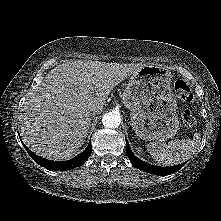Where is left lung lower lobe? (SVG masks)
Here are the masks:
<instances>
[{
  "label": "left lung lower lobe",
  "instance_id": "obj_1",
  "mask_svg": "<svg viewBox=\"0 0 221 221\" xmlns=\"http://www.w3.org/2000/svg\"><path fill=\"white\" fill-rule=\"evenodd\" d=\"M126 153L134 167L140 170L152 173V174L170 175L178 171L181 167L185 165V163H182V164L175 165V166L159 167V166L150 165L144 161H141L132 153L127 139H126Z\"/></svg>",
  "mask_w": 221,
  "mask_h": 221
}]
</instances>
